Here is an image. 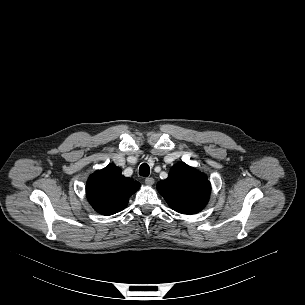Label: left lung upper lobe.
Wrapping results in <instances>:
<instances>
[{
    "label": "left lung upper lobe",
    "instance_id": "1",
    "mask_svg": "<svg viewBox=\"0 0 305 305\" xmlns=\"http://www.w3.org/2000/svg\"><path fill=\"white\" fill-rule=\"evenodd\" d=\"M157 190L169 206L182 214L200 212L207 204L211 184L207 176L185 163L175 164Z\"/></svg>",
    "mask_w": 305,
    "mask_h": 305
}]
</instances>
